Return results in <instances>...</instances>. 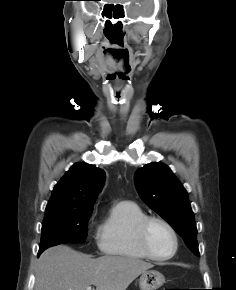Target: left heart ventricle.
<instances>
[{
	"mask_svg": "<svg viewBox=\"0 0 236 290\" xmlns=\"http://www.w3.org/2000/svg\"><path fill=\"white\" fill-rule=\"evenodd\" d=\"M148 241L151 250L158 256H167L173 251V238L170 232L159 223H153L150 226Z\"/></svg>",
	"mask_w": 236,
	"mask_h": 290,
	"instance_id": "1",
	"label": "left heart ventricle"
}]
</instances>
